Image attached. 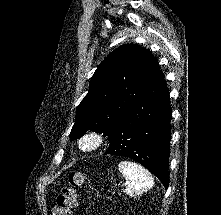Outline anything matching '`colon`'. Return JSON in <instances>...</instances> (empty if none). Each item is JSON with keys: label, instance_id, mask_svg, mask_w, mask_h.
<instances>
[{"label": "colon", "instance_id": "obj_1", "mask_svg": "<svg viewBox=\"0 0 221 215\" xmlns=\"http://www.w3.org/2000/svg\"><path fill=\"white\" fill-rule=\"evenodd\" d=\"M84 175L80 171H72L68 175V185L57 197L52 215H71L77 206L76 190L83 185Z\"/></svg>", "mask_w": 221, "mask_h": 215}]
</instances>
